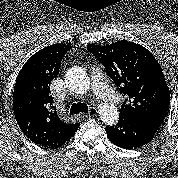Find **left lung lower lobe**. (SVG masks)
<instances>
[{
	"mask_svg": "<svg viewBox=\"0 0 178 178\" xmlns=\"http://www.w3.org/2000/svg\"><path fill=\"white\" fill-rule=\"evenodd\" d=\"M162 123L148 119L119 117L115 126H106L108 139L124 149H136L149 143Z\"/></svg>",
	"mask_w": 178,
	"mask_h": 178,
	"instance_id": "left-lung-lower-lobe-1",
	"label": "left lung lower lobe"
}]
</instances>
